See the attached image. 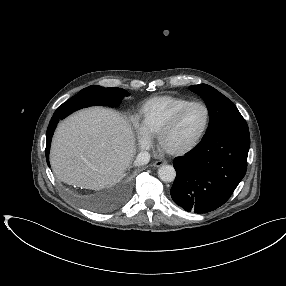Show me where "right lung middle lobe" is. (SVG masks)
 I'll return each mask as SVG.
<instances>
[{"label": "right lung middle lobe", "instance_id": "right-lung-middle-lobe-1", "mask_svg": "<svg viewBox=\"0 0 286 286\" xmlns=\"http://www.w3.org/2000/svg\"><path fill=\"white\" fill-rule=\"evenodd\" d=\"M128 92L121 88H104L92 85L82 89L78 94L60 105L54 114L61 119L72 112L92 105H109L117 107L123 96H128Z\"/></svg>", "mask_w": 286, "mask_h": 286}]
</instances>
